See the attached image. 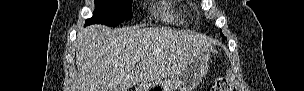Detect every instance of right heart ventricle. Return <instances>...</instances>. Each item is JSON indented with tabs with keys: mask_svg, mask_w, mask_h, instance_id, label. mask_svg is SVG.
Segmentation results:
<instances>
[{
	"mask_svg": "<svg viewBox=\"0 0 304 91\" xmlns=\"http://www.w3.org/2000/svg\"><path fill=\"white\" fill-rule=\"evenodd\" d=\"M182 9H183V11H187L186 8H182ZM164 15H165L166 19L170 20V21H175L178 18L176 11L171 8H165Z\"/></svg>",
	"mask_w": 304,
	"mask_h": 91,
	"instance_id": "right-heart-ventricle-1",
	"label": "right heart ventricle"
}]
</instances>
